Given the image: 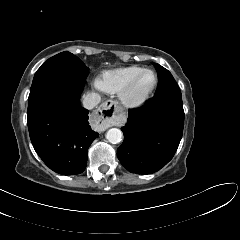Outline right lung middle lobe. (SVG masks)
I'll use <instances>...</instances> for the list:
<instances>
[{
  "label": "right lung middle lobe",
  "mask_w": 240,
  "mask_h": 240,
  "mask_svg": "<svg viewBox=\"0 0 240 240\" xmlns=\"http://www.w3.org/2000/svg\"><path fill=\"white\" fill-rule=\"evenodd\" d=\"M89 68L70 52L59 53L48 59L37 70L28 99L35 97L44 88L58 83L84 85Z\"/></svg>",
  "instance_id": "dd1d6c3e"
}]
</instances>
